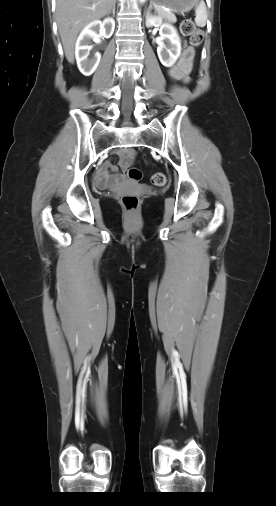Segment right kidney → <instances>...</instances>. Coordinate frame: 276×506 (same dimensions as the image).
Wrapping results in <instances>:
<instances>
[{
    "instance_id": "right-kidney-1",
    "label": "right kidney",
    "mask_w": 276,
    "mask_h": 506,
    "mask_svg": "<svg viewBox=\"0 0 276 506\" xmlns=\"http://www.w3.org/2000/svg\"><path fill=\"white\" fill-rule=\"evenodd\" d=\"M115 21L113 18H106L103 21L95 20L84 27L79 34L75 46V56L80 72L86 76L91 75L101 59L100 53H95L93 58H89L92 48L91 41L100 37L110 38L114 32Z\"/></svg>"
}]
</instances>
